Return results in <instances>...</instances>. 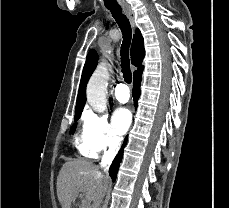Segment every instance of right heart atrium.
<instances>
[{
  "instance_id": "d8ad5b80",
  "label": "right heart atrium",
  "mask_w": 229,
  "mask_h": 208,
  "mask_svg": "<svg viewBox=\"0 0 229 208\" xmlns=\"http://www.w3.org/2000/svg\"><path fill=\"white\" fill-rule=\"evenodd\" d=\"M80 142L87 154H98L119 147L122 138L113 131L106 115L88 110L82 118Z\"/></svg>"
}]
</instances>
